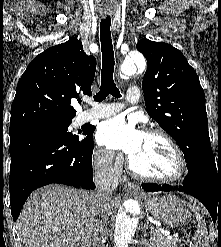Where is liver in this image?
I'll use <instances>...</instances> for the list:
<instances>
[{"mask_svg":"<svg viewBox=\"0 0 221 247\" xmlns=\"http://www.w3.org/2000/svg\"><path fill=\"white\" fill-rule=\"evenodd\" d=\"M96 219L91 193L52 184L30 195L16 225L26 247H91Z\"/></svg>","mask_w":221,"mask_h":247,"instance_id":"liver-1","label":"liver"}]
</instances>
